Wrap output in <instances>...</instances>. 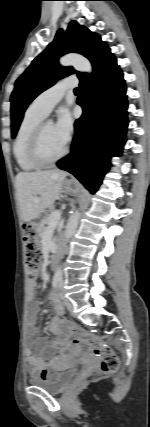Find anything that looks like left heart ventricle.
Here are the masks:
<instances>
[{"mask_svg":"<svg viewBox=\"0 0 150 427\" xmlns=\"http://www.w3.org/2000/svg\"><path fill=\"white\" fill-rule=\"evenodd\" d=\"M65 146L57 135L54 125L48 123L44 128L41 141L43 157L47 159L54 158L63 151Z\"/></svg>","mask_w":150,"mask_h":427,"instance_id":"1","label":"left heart ventricle"}]
</instances>
